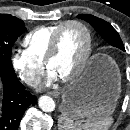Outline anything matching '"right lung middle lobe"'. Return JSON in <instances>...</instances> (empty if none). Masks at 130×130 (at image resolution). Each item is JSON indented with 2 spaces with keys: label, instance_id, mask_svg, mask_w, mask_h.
<instances>
[{
  "label": "right lung middle lobe",
  "instance_id": "right-lung-middle-lobe-1",
  "mask_svg": "<svg viewBox=\"0 0 130 130\" xmlns=\"http://www.w3.org/2000/svg\"><path fill=\"white\" fill-rule=\"evenodd\" d=\"M26 30L24 22L9 14H0V65L14 70L11 49L17 38Z\"/></svg>",
  "mask_w": 130,
  "mask_h": 130
}]
</instances>
